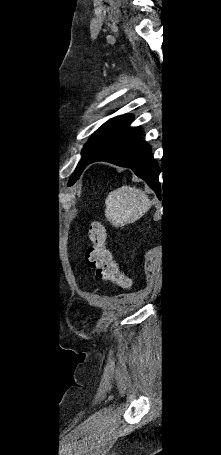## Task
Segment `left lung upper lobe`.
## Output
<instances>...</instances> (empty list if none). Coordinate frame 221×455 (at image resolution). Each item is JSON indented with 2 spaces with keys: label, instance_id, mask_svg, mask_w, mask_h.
<instances>
[{
  "label": "left lung upper lobe",
  "instance_id": "obj_1",
  "mask_svg": "<svg viewBox=\"0 0 221 455\" xmlns=\"http://www.w3.org/2000/svg\"><path fill=\"white\" fill-rule=\"evenodd\" d=\"M132 114H125L110 119L104 123L84 145V155L78 163L74 174L71 176L69 183H74L83 172L89 161L102 150L110 141L129 128L133 121Z\"/></svg>",
  "mask_w": 221,
  "mask_h": 455
}]
</instances>
